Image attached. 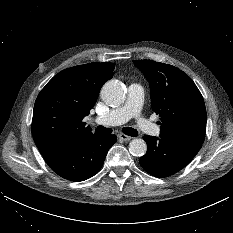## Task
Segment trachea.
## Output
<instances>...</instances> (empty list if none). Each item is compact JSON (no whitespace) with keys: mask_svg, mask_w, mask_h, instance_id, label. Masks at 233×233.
Segmentation results:
<instances>
[{"mask_svg":"<svg viewBox=\"0 0 233 233\" xmlns=\"http://www.w3.org/2000/svg\"><path fill=\"white\" fill-rule=\"evenodd\" d=\"M95 132L98 134H109L112 132V130L110 128H106L104 126H98L95 129ZM122 132L128 136H132L135 137L138 135V131L136 129H133L131 127H127V128H123Z\"/></svg>","mask_w":233,"mask_h":233,"instance_id":"obj_1","label":"trachea"}]
</instances>
